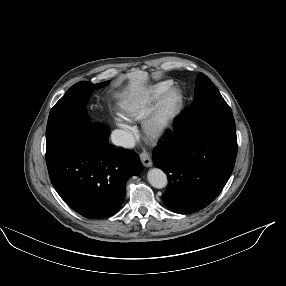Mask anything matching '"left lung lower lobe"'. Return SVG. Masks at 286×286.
<instances>
[{
  "label": "left lung lower lobe",
  "instance_id": "left-lung-lower-lobe-1",
  "mask_svg": "<svg viewBox=\"0 0 286 286\" xmlns=\"http://www.w3.org/2000/svg\"><path fill=\"white\" fill-rule=\"evenodd\" d=\"M235 127L207 126L181 132L177 127L153 152L154 165L168 177L162 196L179 214L208 206L227 183L236 160Z\"/></svg>",
  "mask_w": 286,
  "mask_h": 286
}]
</instances>
